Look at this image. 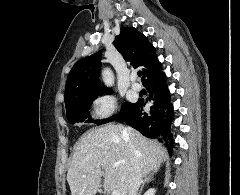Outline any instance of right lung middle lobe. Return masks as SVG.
<instances>
[{
    "label": "right lung middle lobe",
    "mask_w": 240,
    "mask_h": 195,
    "mask_svg": "<svg viewBox=\"0 0 240 195\" xmlns=\"http://www.w3.org/2000/svg\"><path fill=\"white\" fill-rule=\"evenodd\" d=\"M96 99V97H85L79 98L66 105L67 119L70 123L74 124L77 122H94L97 125L107 123L116 119L118 116L126 113L135 106V103H123L121 106V111L119 114L105 120L93 121L90 118L89 108L91 103Z\"/></svg>",
    "instance_id": "right-lung-middle-lobe-1"
}]
</instances>
